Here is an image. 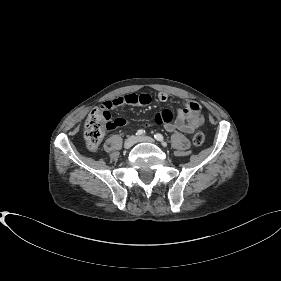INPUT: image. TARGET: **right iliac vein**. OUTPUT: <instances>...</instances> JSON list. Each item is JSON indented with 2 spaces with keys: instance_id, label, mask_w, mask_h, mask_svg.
Here are the masks:
<instances>
[{
  "instance_id": "1",
  "label": "right iliac vein",
  "mask_w": 281,
  "mask_h": 281,
  "mask_svg": "<svg viewBox=\"0 0 281 281\" xmlns=\"http://www.w3.org/2000/svg\"><path fill=\"white\" fill-rule=\"evenodd\" d=\"M137 142V138L135 136H129L124 143V147L126 149L131 148Z\"/></svg>"
}]
</instances>
